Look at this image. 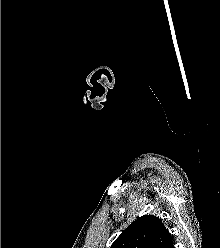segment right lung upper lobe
I'll list each match as a JSON object with an SVG mask.
<instances>
[{
    "mask_svg": "<svg viewBox=\"0 0 220 248\" xmlns=\"http://www.w3.org/2000/svg\"><path fill=\"white\" fill-rule=\"evenodd\" d=\"M172 242L159 217L144 215L129 225L110 248H168Z\"/></svg>",
    "mask_w": 220,
    "mask_h": 248,
    "instance_id": "cb5924a9",
    "label": "right lung upper lobe"
}]
</instances>
